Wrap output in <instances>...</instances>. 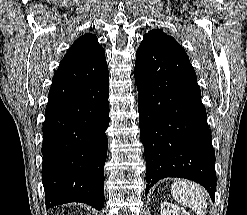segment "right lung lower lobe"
<instances>
[{"label":"right lung lower lobe","mask_w":247,"mask_h":215,"mask_svg":"<svg viewBox=\"0 0 247 215\" xmlns=\"http://www.w3.org/2000/svg\"><path fill=\"white\" fill-rule=\"evenodd\" d=\"M105 52L65 58L54 74L45 110L42 182L46 208L83 202L104 206L109 126Z\"/></svg>","instance_id":"1"}]
</instances>
